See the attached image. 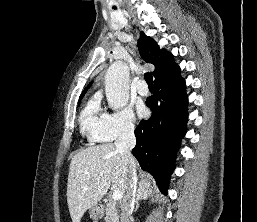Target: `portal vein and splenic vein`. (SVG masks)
Returning a JSON list of instances; mask_svg holds the SVG:
<instances>
[{
    "label": "portal vein and splenic vein",
    "mask_w": 257,
    "mask_h": 222,
    "mask_svg": "<svg viewBox=\"0 0 257 222\" xmlns=\"http://www.w3.org/2000/svg\"><path fill=\"white\" fill-rule=\"evenodd\" d=\"M98 179H99V178H98ZM122 198H123L122 192H120V191H114V192L112 193V199H113L114 201L121 200Z\"/></svg>",
    "instance_id": "1"
}]
</instances>
